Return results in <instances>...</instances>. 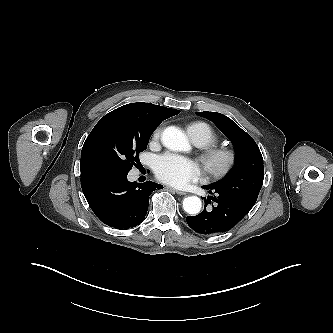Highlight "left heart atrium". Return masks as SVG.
Here are the masks:
<instances>
[{"instance_id": "left-heart-atrium-1", "label": "left heart atrium", "mask_w": 333, "mask_h": 333, "mask_svg": "<svg viewBox=\"0 0 333 333\" xmlns=\"http://www.w3.org/2000/svg\"><path fill=\"white\" fill-rule=\"evenodd\" d=\"M154 171L159 180L174 187H185L199 177L200 170L192 159L165 154L154 163Z\"/></svg>"}]
</instances>
